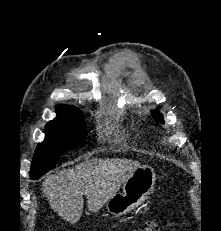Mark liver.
<instances>
[{
    "instance_id": "6515ba94",
    "label": "liver",
    "mask_w": 221,
    "mask_h": 231,
    "mask_svg": "<svg viewBox=\"0 0 221 231\" xmlns=\"http://www.w3.org/2000/svg\"><path fill=\"white\" fill-rule=\"evenodd\" d=\"M139 167L138 161L127 159L83 162L75 168L47 175L42 192L60 217L75 224L83 213L84 195L88 210L97 212Z\"/></svg>"
}]
</instances>
